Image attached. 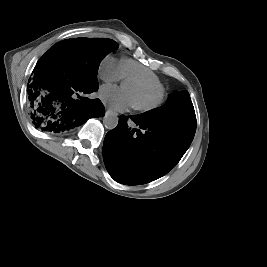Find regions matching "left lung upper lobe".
<instances>
[{"label":"left lung upper lobe","instance_id":"obj_1","mask_svg":"<svg viewBox=\"0 0 267 267\" xmlns=\"http://www.w3.org/2000/svg\"><path fill=\"white\" fill-rule=\"evenodd\" d=\"M145 122L172 124L196 131V115L189 93L175 92L169 95L166 104L137 115Z\"/></svg>","mask_w":267,"mask_h":267}]
</instances>
